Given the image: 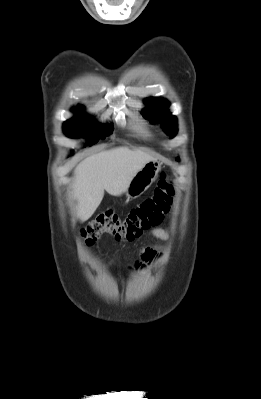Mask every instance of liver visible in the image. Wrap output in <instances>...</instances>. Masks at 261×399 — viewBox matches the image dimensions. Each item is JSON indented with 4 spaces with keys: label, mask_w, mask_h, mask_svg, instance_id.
Listing matches in <instances>:
<instances>
[{
    "label": "liver",
    "mask_w": 261,
    "mask_h": 399,
    "mask_svg": "<svg viewBox=\"0 0 261 399\" xmlns=\"http://www.w3.org/2000/svg\"><path fill=\"white\" fill-rule=\"evenodd\" d=\"M155 160L152 155L127 146L103 150L86 157L74 170L73 195L78 202L79 219L85 222L94 214L104 197V191L112 196L124 193L136 173L147 162Z\"/></svg>",
    "instance_id": "obj_1"
}]
</instances>
